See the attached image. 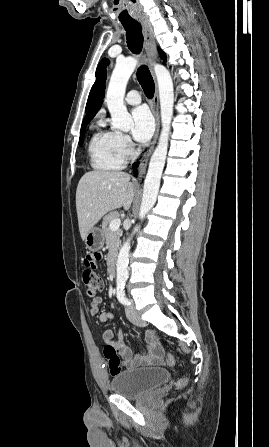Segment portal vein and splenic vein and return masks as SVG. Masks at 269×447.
Wrapping results in <instances>:
<instances>
[{"instance_id":"1","label":"portal vein and splenic vein","mask_w":269,"mask_h":447,"mask_svg":"<svg viewBox=\"0 0 269 447\" xmlns=\"http://www.w3.org/2000/svg\"><path fill=\"white\" fill-rule=\"evenodd\" d=\"M121 224V220H119V218H115V220H112V222H110V229H112V231H116V229H119Z\"/></svg>"}]
</instances>
